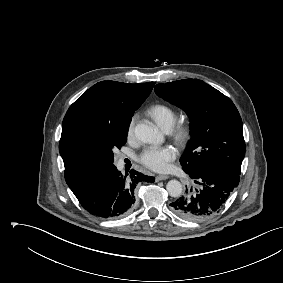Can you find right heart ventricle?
<instances>
[{"mask_svg":"<svg viewBox=\"0 0 283 283\" xmlns=\"http://www.w3.org/2000/svg\"><path fill=\"white\" fill-rule=\"evenodd\" d=\"M147 113L164 130L171 129L177 120L175 110L166 104L152 105Z\"/></svg>","mask_w":283,"mask_h":283,"instance_id":"right-heart-ventricle-1","label":"right heart ventricle"}]
</instances>
